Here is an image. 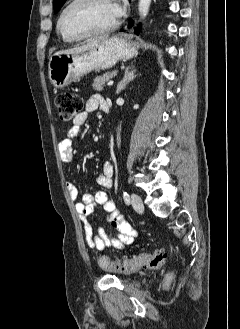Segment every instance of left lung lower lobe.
Wrapping results in <instances>:
<instances>
[{"label": "left lung lower lobe", "instance_id": "0a47b994", "mask_svg": "<svg viewBox=\"0 0 240 329\" xmlns=\"http://www.w3.org/2000/svg\"><path fill=\"white\" fill-rule=\"evenodd\" d=\"M132 25H133V22L131 21V22L129 23L128 27H130V26H132ZM138 28H140V25H138ZM134 33L139 34L138 29H136Z\"/></svg>", "mask_w": 240, "mask_h": 329}]
</instances>
